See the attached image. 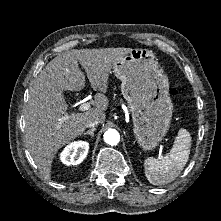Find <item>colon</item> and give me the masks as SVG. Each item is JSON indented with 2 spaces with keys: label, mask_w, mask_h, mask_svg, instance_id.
Listing matches in <instances>:
<instances>
[{
  "label": "colon",
  "mask_w": 221,
  "mask_h": 221,
  "mask_svg": "<svg viewBox=\"0 0 221 221\" xmlns=\"http://www.w3.org/2000/svg\"><path fill=\"white\" fill-rule=\"evenodd\" d=\"M180 93L179 90L176 87H171L168 90V96L170 99L175 100L179 97Z\"/></svg>",
  "instance_id": "colon-1"
}]
</instances>
